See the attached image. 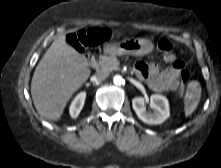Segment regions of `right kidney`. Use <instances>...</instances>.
<instances>
[{
  "mask_svg": "<svg viewBox=\"0 0 221 168\" xmlns=\"http://www.w3.org/2000/svg\"><path fill=\"white\" fill-rule=\"evenodd\" d=\"M85 98H86V93L81 92L72 101L70 109H69V112L72 118H76L79 115L80 111L83 108Z\"/></svg>",
  "mask_w": 221,
  "mask_h": 168,
  "instance_id": "1",
  "label": "right kidney"
}]
</instances>
